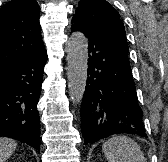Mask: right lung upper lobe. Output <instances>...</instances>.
Masks as SVG:
<instances>
[{
  "label": "right lung upper lobe",
  "instance_id": "obj_1",
  "mask_svg": "<svg viewBox=\"0 0 168 162\" xmlns=\"http://www.w3.org/2000/svg\"><path fill=\"white\" fill-rule=\"evenodd\" d=\"M35 0H11L0 8V70L45 52Z\"/></svg>",
  "mask_w": 168,
  "mask_h": 162
}]
</instances>
